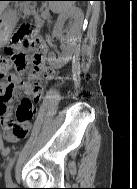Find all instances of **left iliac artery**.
Returning a JSON list of instances; mask_svg holds the SVG:
<instances>
[{"instance_id":"obj_1","label":"left iliac artery","mask_w":137,"mask_h":189,"mask_svg":"<svg viewBox=\"0 0 137 189\" xmlns=\"http://www.w3.org/2000/svg\"><path fill=\"white\" fill-rule=\"evenodd\" d=\"M17 155H18V152H16L15 156L12 159H10V161L8 163V166H7L6 170H5V181H6V184L8 186H13L14 185L12 180H11V169H12V167L14 165V162L16 160Z\"/></svg>"}]
</instances>
